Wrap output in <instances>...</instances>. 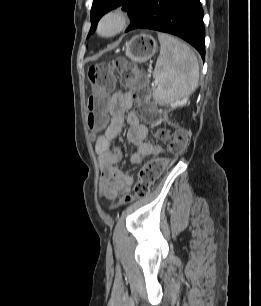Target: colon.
<instances>
[{
    "label": "colon",
    "mask_w": 261,
    "mask_h": 306,
    "mask_svg": "<svg viewBox=\"0 0 261 306\" xmlns=\"http://www.w3.org/2000/svg\"><path fill=\"white\" fill-rule=\"evenodd\" d=\"M115 71L120 76V83L130 94L132 100L141 105V116L147 122H154L155 108L150 102V90L138 68L125 59H116L106 63L93 65L88 70V83L91 93L88 98L87 120L92 130H100L106 124L105 111L109 93L115 85ZM159 138L167 140L169 153L179 156L187 145V133L181 130L169 134L166 130L158 133ZM172 158L158 155L148 160L139 172V181L135 185V197L148 195L150 186L161 176ZM133 197L127 195L120 203L129 202Z\"/></svg>",
    "instance_id": "5ec220e1"
}]
</instances>
